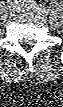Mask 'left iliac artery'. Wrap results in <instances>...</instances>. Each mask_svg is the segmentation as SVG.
I'll list each match as a JSON object with an SVG mask.
<instances>
[{"mask_svg":"<svg viewBox=\"0 0 63 107\" xmlns=\"http://www.w3.org/2000/svg\"><path fill=\"white\" fill-rule=\"evenodd\" d=\"M15 4L18 6H24L27 7L28 9L33 10L34 12H36L37 14H40L42 16H46L48 15L49 11L48 9H46L44 6H42L41 4H38L37 2H35L34 0H24V1H15Z\"/></svg>","mask_w":63,"mask_h":107,"instance_id":"obj_1","label":"left iliac artery"}]
</instances>
